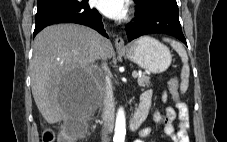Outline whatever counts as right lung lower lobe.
Segmentation results:
<instances>
[{"instance_id":"98d812e1","label":"right lung lower lobe","mask_w":227,"mask_h":142,"mask_svg":"<svg viewBox=\"0 0 227 142\" xmlns=\"http://www.w3.org/2000/svg\"><path fill=\"white\" fill-rule=\"evenodd\" d=\"M62 22L87 25L108 38L102 23V16L96 9L89 7L88 0L38 9L35 16L34 36L46 26Z\"/></svg>"}]
</instances>
